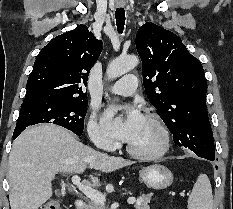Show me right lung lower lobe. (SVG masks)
I'll return each mask as SVG.
<instances>
[{"label": "right lung lower lobe", "instance_id": "obj_1", "mask_svg": "<svg viewBox=\"0 0 233 209\" xmlns=\"http://www.w3.org/2000/svg\"><path fill=\"white\" fill-rule=\"evenodd\" d=\"M22 131H15L14 133H13V139H16L17 137H18V135L21 133ZM78 136H80V135H78Z\"/></svg>", "mask_w": 233, "mask_h": 209}]
</instances>
